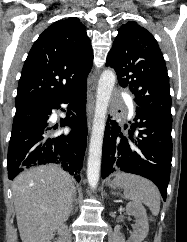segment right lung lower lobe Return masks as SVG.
I'll list each match as a JSON object with an SVG mask.
<instances>
[{
  "instance_id": "98d812e1",
  "label": "right lung lower lobe",
  "mask_w": 187,
  "mask_h": 242,
  "mask_svg": "<svg viewBox=\"0 0 187 242\" xmlns=\"http://www.w3.org/2000/svg\"><path fill=\"white\" fill-rule=\"evenodd\" d=\"M67 105L60 126L68 134L51 135L48 119L53 109ZM56 129V128H54ZM86 85L15 113L8 147V177L13 179L25 168L53 163L80 181L87 141Z\"/></svg>"
}]
</instances>
